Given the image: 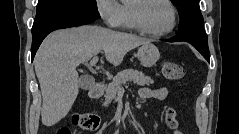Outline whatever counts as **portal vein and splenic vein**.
I'll use <instances>...</instances> for the list:
<instances>
[{"instance_id":"18ae733b","label":"portal vein and splenic vein","mask_w":239,"mask_h":134,"mask_svg":"<svg viewBox=\"0 0 239 134\" xmlns=\"http://www.w3.org/2000/svg\"><path fill=\"white\" fill-rule=\"evenodd\" d=\"M98 61V56L95 55L91 60H90V66H95Z\"/></svg>"}]
</instances>
